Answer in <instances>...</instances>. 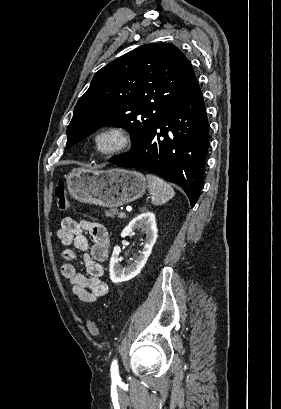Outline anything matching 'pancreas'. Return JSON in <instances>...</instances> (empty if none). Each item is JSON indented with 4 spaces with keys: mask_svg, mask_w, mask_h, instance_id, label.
Segmentation results:
<instances>
[{
    "mask_svg": "<svg viewBox=\"0 0 281 409\" xmlns=\"http://www.w3.org/2000/svg\"><path fill=\"white\" fill-rule=\"evenodd\" d=\"M105 213H106V217H114V215H118L120 219L117 209H111V211H105Z\"/></svg>",
    "mask_w": 281,
    "mask_h": 409,
    "instance_id": "cf45deb5",
    "label": "pancreas"
}]
</instances>
